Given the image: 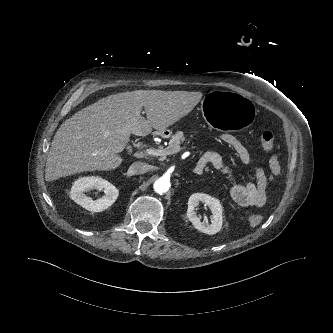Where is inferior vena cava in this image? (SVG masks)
Masks as SVG:
<instances>
[{"mask_svg": "<svg viewBox=\"0 0 333 333\" xmlns=\"http://www.w3.org/2000/svg\"><path fill=\"white\" fill-rule=\"evenodd\" d=\"M129 170L132 174H143L150 170V165L145 162H134Z\"/></svg>", "mask_w": 333, "mask_h": 333, "instance_id": "1", "label": "inferior vena cava"}]
</instances>
